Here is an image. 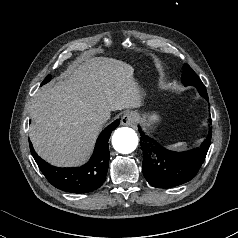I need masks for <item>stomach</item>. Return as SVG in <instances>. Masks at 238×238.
I'll return each mask as SVG.
<instances>
[{"label":"stomach","mask_w":238,"mask_h":238,"mask_svg":"<svg viewBox=\"0 0 238 238\" xmlns=\"http://www.w3.org/2000/svg\"><path fill=\"white\" fill-rule=\"evenodd\" d=\"M139 119L145 127L149 128L151 125H153L159 120V116L155 113L144 114L142 116H139Z\"/></svg>","instance_id":"obj_1"}]
</instances>
